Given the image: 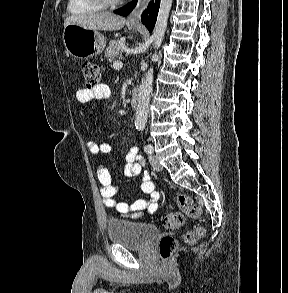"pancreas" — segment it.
<instances>
[{
    "mask_svg": "<svg viewBox=\"0 0 288 293\" xmlns=\"http://www.w3.org/2000/svg\"><path fill=\"white\" fill-rule=\"evenodd\" d=\"M125 48V39L112 40L105 51V56L112 62L115 58L122 57Z\"/></svg>",
    "mask_w": 288,
    "mask_h": 293,
    "instance_id": "pancreas-1",
    "label": "pancreas"
}]
</instances>
